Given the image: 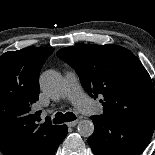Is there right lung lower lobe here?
Returning <instances> with one entry per match:
<instances>
[{
	"label": "right lung lower lobe",
	"instance_id": "right-lung-lower-lobe-1",
	"mask_svg": "<svg viewBox=\"0 0 155 155\" xmlns=\"http://www.w3.org/2000/svg\"><path fill=\"white\" fill-rule=\"evenodd\" d=\"M64 127H65V131H66V133H65V134H67V126H66V125H64Z\"/></svg>",
	"mask_w": 155,
	"mask_h": 155
}]
</instances>
